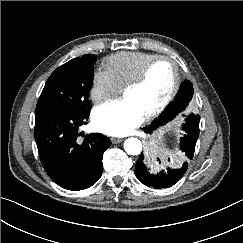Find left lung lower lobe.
I'll list each match as a JSON object with an SVG mask.
<instances>
[{
    "label": "left lung lower lobe",
    "mask_w": 243,
    "mask_h": 243,
    "mask_svg": "<svg viewBox=\"0 0 243 243\" xmlns=\"http://www.w3.org/2000/svg\"><path fill=\"white\" fill-rule=\"evenodd\" d=\"M189 102H179L174 105L173 115L168 120L173 119L178 113L182 112ZM167 120V121H168ZM199 121L200 116L191 114L186 119L184 130L186 135L180 140V149L185 154L187 159H192L195 151L196 141L199 136ZM159 125L157 122L152 123L149 127L145 128V132L152 133ZM157 161L160 163V159ZM188 167L187 162H184L179 169L167 168L166 172L162 171L156 175L150 174L145 164L143 153H141L135 166V173L137 178L146 186H151L157 189L168 188L174 185L186 172Z\"/></svg>",
    "instance_id": "obj_1"
}]
</instances>
